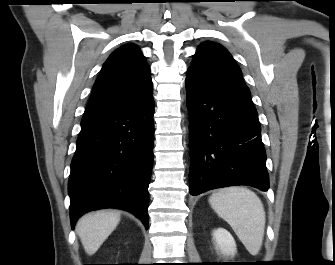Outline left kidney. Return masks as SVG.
Here are the masks:
<instances>
[{
    "instance_id": "5707ae66",
    "label": "left kidney",
    "mask_w": 335,
    "mask_h": 265,
    "mask_svg": "<svg viewBox=\"0 0 335 265\" xmlns=\"http://www.w3.org/2000/svg\"><path fill=\"white\" fill-rule=\"evenodd\" d=\"M213 239L216 249L226 256H234L237 252L236 243L233 236L224 228L213 231Z\"/></svg>"
}]
</instances>
